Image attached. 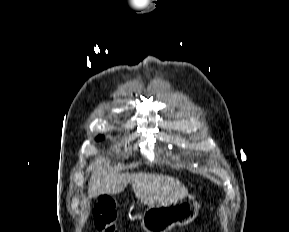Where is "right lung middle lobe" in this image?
<instances>
[{
	"label": "right lung middle lobe",
	"instance_id": "obj_1",
	"mask_svg": "<svg viewBox=\"0 0 289 232\" xmlns=\"http://www.w3.org/2000/svg\"><path fill=\"white\" fill-rule=\"evenodd\" d=\"M101 139H103V136H98V137L96 138L97 141H99V140H101Z\"/></svg>",
	"mask_w": 289,
	"mask_h": 232
}]
</instances>
